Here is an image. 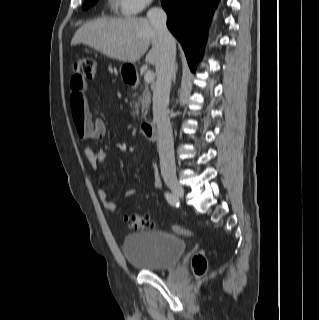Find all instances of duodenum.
I'll return each instance as SVG.
<instances>
[{"label": "duodenum", "mask_w": 319, "mask_h": 320, "mask_svg": "<svg viewBox=\"0 0 319 320\" xmlns=\"http://www.w3.org/2000/svg\"><path fill=\"white\" fill-rule=\"evenodd\" d=\"M126 70L128 71V69H126ZM125 79L130 84H136L137 80H138L135 73H133V72L128 73L125 76ZM142 131L149 141H156L157 140L158 130H157V127L154 123H151V122L143 123L142 124Z\"/></svg>", "instance_id": "duodenum-1"}]
</instances>
